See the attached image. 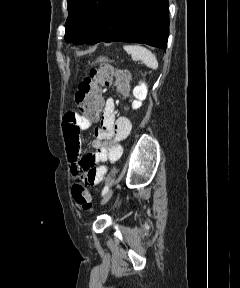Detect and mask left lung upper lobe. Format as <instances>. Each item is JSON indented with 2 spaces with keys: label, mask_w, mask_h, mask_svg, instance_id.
Segmentation results:
<instances>
[{
  "label": "left lung upper lobe",
  "mask_w": 240,
  "mask_h": 288,
  "mask_svg": "<svg viewBox=\"0 0 240 288\" xmlns=\"http://www.w3.org/2000/svg\"><path fill=\"white\" fill-rule=\"evenodd\" d=\"M109 0H67L65 39L84 44L101 21Z\"/></svg>",
  "instance_id": "1"
}]
</instances>
